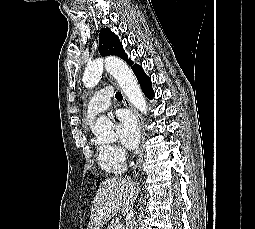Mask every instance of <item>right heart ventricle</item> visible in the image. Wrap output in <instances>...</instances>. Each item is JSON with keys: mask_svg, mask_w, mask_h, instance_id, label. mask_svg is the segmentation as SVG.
I'll return each instance as SVG.
<instances>
[{"mask_svg": "<svg viewBox=\"0 0 255 229\" xmlns=\"http://www.w3.org/2000/svg\"><path fill=\"white\" fill-rule=\"evenodd\" d=\"M97 160L100 167L109 174L118 175L126 169L125 162L115 159L111 154L110 146L105 144L98 145Z\"/></svg>", "mask_w": 255, "mask_h": 229, "instance_id": "right-heart-ventricle-1", "label": "right heart ventricle"}]
</instances>
